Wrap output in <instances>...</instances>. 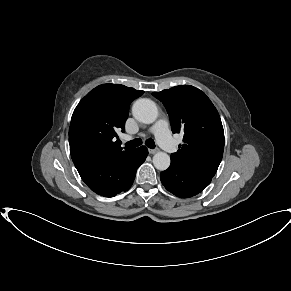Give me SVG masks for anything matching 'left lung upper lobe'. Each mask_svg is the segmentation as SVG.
<instances>
[{"label":"left lung upper lobe","mask_w":291,"mask_h":291,"mask_svg":"<svg viewBox=\"0 0 291 291\" xmlns=\"http://www.w3.org/2000/svg\"><path fill=\"white\" fill-rule=\"evenodd\" d=\"M152 94L164 104L172 132L184 133L183 144L171 154V161L191 173L212 179L223 157L224 130L210 99L190 85Z\"/></svg>","instance_id":"1"}]
</instances>
